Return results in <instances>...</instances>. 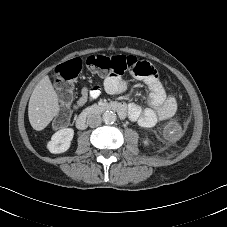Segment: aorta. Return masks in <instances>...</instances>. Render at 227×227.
<instances>
[{
  "instance_id": "762f6f07",
  "label": "aorta",
  "mask_w": 227,
  "mask_h": 227,
  "mask_svg": "<svg viewBox=\"0 0 227 227\" xmlns=\"http://www.w3.org/2000/svg\"><path fill=\"white\" fill-rule=\"evenodd\" d=\"M102 119L106 124H113L116 120V114L112 111H105L102 115Z\"/></svg>"
}]
</instances>
